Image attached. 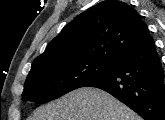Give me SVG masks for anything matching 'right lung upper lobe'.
Listing matches in <instances>:
<instances>
[{
    "instance_id": "right-lung-upper-lobe-1",
    "label": "right lung upper lobe",
    "mask_w": 165,
    "mask_h": 120,
    "mask_svg": "<svg viewBox=\"0 0 165 120\" xmlns=\"http://www.w3.org/2000/svg\"><path fill=\"white\" fill-rule=\"evenodd\" d=\"M153 40L136 10L125 2L106 0L67 24L36 57L32 67L72 58L117 63L129 52Z\"/></svg>"
}]
</instances>
